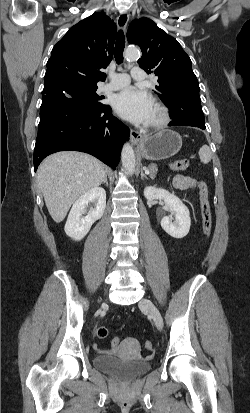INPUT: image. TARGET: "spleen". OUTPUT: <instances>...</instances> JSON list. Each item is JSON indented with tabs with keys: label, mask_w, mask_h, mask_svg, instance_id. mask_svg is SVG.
<instances>
[{
	"label": "spleen",
	"mask_w": 250,
	"mask_h": 413,
	"mask_svg": "<svg viewBox=\"0 0 250 413\" xmlns=\"http://www.w3.org/2000/svg\"><path fill=\"white\" fill-rule=\"evenodd\" d=\"M199 158L203 164H207L211 161L212 154L210 148L207 145H203L199 149Z\"/></svg>",
	"instance_id": "1"
}]
</instances>
